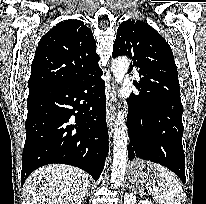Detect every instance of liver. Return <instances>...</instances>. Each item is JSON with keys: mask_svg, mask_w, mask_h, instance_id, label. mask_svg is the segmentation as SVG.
I'll return each instance as SVG.
<instances>
[{"mask_svg": "<svg viewBox=\"0 0 206 204\" xmlns=\"http://www.w3.org/2000/svg\"><path fill=\"white\" fill-rule=\"evenodd\" d=\"M90 186L85 171L65 164L35 170L25 181L27 204H81Z\"/></svg>", "mask_w": 206, "mask_h": 204, "instance_id": "obj_1", "label": "liver"}]
</instances>
